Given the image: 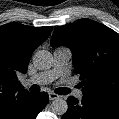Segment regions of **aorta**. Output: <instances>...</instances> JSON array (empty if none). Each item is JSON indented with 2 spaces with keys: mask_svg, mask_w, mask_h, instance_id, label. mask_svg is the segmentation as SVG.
Returning <instances> with one entry per match:
<instances>
[{
  "mask_svg": "<svg viewBox=\"0 0 119 119\" xmlns=\"http://www.w3.org/2000/svg\"><path fill=\"white\" fill-rule=\"evenodd\" d=\"M33 64L38 70L50 69L53 65V56L47 50H39L33 56ZM52 111L57 115H63L68 110L66 100L56 98L51 104Z\"/></svg>",
  "mask_w": 119,
  "mask_h": 119,
  "instance_id": "762f6f07",
  "label": "aorta"
}]
</instances>
